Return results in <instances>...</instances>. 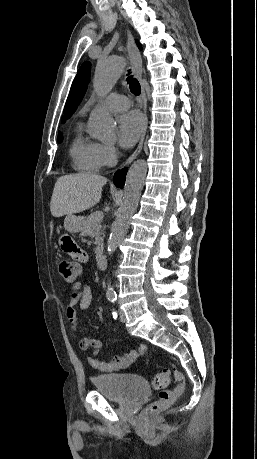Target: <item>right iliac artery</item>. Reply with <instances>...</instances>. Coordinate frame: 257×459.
Instances as JSON below:
<instances>
[{"label": "right iliac artery", "mask_w": 257, "mask_h": 459, "mask_svg": "<svg viewBox=\"0 0 257 459\" xmlns=\"http://www.w3.org/2000/svg\"><path fill=\"white\" fill-rule=\"evenodd\" d=\"M112 314H113V318L116 319L117 318V312L114 309H113Z\"/></svg>", "instance_id": "1"}]
</instances>
